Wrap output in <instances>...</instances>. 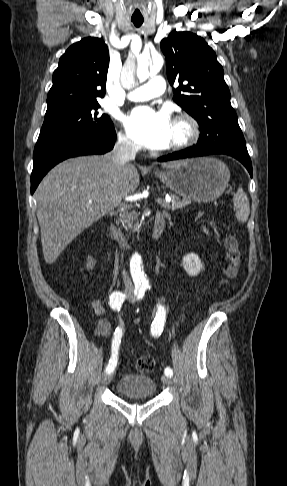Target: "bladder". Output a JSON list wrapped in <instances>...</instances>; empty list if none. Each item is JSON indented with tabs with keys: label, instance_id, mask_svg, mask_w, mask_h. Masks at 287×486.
Returning a JSON list of instances; mask_svg holds the SVG:
<instances>
[{
	"label": "bladder",
	"instance_id": "31cf9c89",
	"mask_svg": "<svg viewBox=\"0 0 287 486\" xmlns=\"http://www.w3.org/2000/svg\"><path fill=\"white\" fill-rule=\"evenodd\" d=\"M155 380L145 374H126L116 383V391L126 397L150 398L156 393Z\"/></svg>",
	"mask_w": 287,
	"mask_h": 486
}]
</instances>
